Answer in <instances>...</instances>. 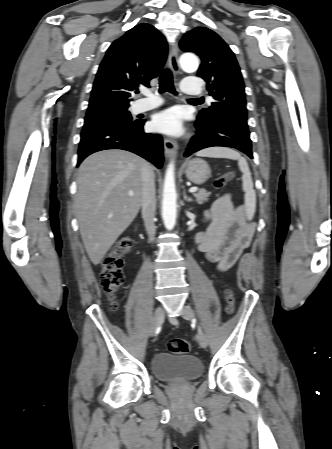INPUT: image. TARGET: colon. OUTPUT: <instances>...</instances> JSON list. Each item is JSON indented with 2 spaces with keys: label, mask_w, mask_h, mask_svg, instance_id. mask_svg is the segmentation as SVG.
Instances as JSON below:
<instances>
[{
  "label": "colon",
  "mask_w": 332,
  "mask_h": 449,
  "mask_svg": "<svg viewBox=\"0 0 332 449\" xmlns=\"http://www.w3.org/2000/svg\"><path fill=\"white\" fill-rule=\"evenodd\" d=\"M235 179L234 172H228L218 177L214 185L217 189L224 188L229 182ZM132 240L129 237L120 238L111 251L103 258L100 272V282L104 291L114 300L124 282L122 273V256L130 251ZM226 312L231 314L234 310L235 298L232 290L226 288L225 291ZM168 348L173 354H187L190 344L187 340L175 338L168 342Z\"/></svg>",
  "instance_id": "obj_1"
}]
</instances>
